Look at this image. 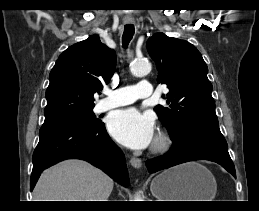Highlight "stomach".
Listing matches in <instances>:
<instances>
[{"label":"stomach","instance_id":"stomach-1","mask_svg":"<svg viewBox=\"0 0 259 211\" xmlns=\"http://www.w3.org/2000/svg\"><path fill=\"white\" fill-rule=\"evenodd\" d=\"M150 190L158 201H213L217 184L206 167L190 162L157 175Z\"/></svg>","mask_w":259,"mask_h":211}]
</instances>
